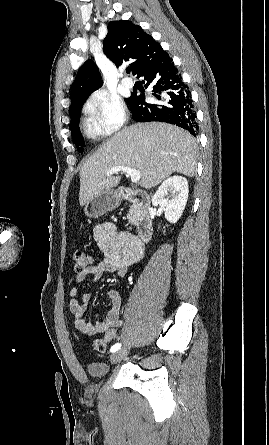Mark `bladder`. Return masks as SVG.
<instances>
[{"label":"bladder","mask_w":269,"mask_h":445,"mask_svg":"<svg viewBox=\"0 0 269 445\" xmlns=\"http://www.w3.org/2000/svg\"><path fill=\"white\" fill-rule=\"evenodd\" d=\"M86 371L94 378H102L108 373L109 369L105 363L91 362L86 365Z\"/></svg>","instance_id":"obj_1"}]
</instances>
